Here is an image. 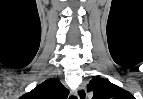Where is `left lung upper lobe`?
I'll return each instance as SVG.
<instances>
[{
    "mask_svg": "<svg viewBox=\"0 0 143 99\" xmlns=\"http://www.w3.org/2000/svg\"><path fill=\"white\" fill-rule=\"evenodd\" d=\"M87 91L93 92L92 99H135L128 91L100 77L90 81Z\"/></svg>",
    "mask_w": 143,
    "mask_h": 99,
    "instance_id": "5c2ea615",
    "label": "left lung upper lobe"
}]
</instances>
